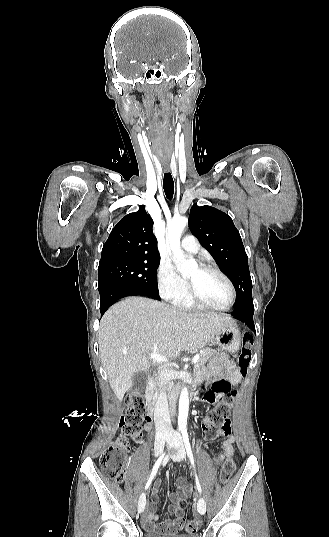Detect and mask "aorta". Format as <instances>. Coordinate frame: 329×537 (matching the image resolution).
Returning <instances> with one entry per match:
<instances>
[{
    "instance_id": "762f6f07",
    "label": "aorta",
    "mask_w": 329,
    "mask_h": 537,
    "mask_svg": "<svg viewBox=\"0 0 329 537\" xmlns=\"http://www.w3.org/2000/svg\"><path fill=\"white\" fill-rule=\"evenodd\" d=\"M188 224V219L184 216L175 217L168 224V242L173 254V260L181 273H189L197 267V263L192 257H186L180 248L181 234ZM189 411L188 389L183 387L179 398V415L178 425L181 428H186L187 417Z\"/></svg>"
}]
</instances>
